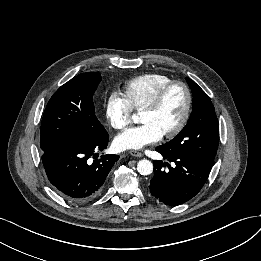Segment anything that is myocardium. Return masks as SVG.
I'll list each match as a JSON object with an SVG mask.
<instances>
[{"label":"myocardium","mask_w":261,"mask_h":261,"mask_svg":"<svg viewBox=\"0 0 261 261\" xmlns=\"http://www.w3.org/2000/svg\"><path fill=\"white\" fill-rule=\"evenodd\" d=\"M175 87H181L186 95V104L185 108L182 114L181 119L177 123V125L167 133L163 134V137L165 138H173L177 136L181 131L184 129L186 126L191 110H192V102H193V97H192V92L190 87L183 81L180 80H173L170 83H168L166 86H164L156 95L155 99L148 105L146 106L143 111H148V112H157L160 110L162 107L166 97L168 96L169 92L175 88Z\"/></svg>","instance_id":"1"}]
</instances>
